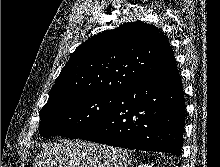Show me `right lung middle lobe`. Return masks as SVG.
<instances>
[{"mask_svg":"<svg viewBox=\"0 0 220 167\" xmlns=\"http://www.w3.org/2000/svg\"><path fill=\"white\" fill-rule=\"evenodd\" d=\"M116 95L76 92L48 101L39 113L40 135L79 138L102 119Z\"/></svg>","mask_w":220,"mask_h":167,"instance_id":"dd1d6c3e","label":"right lung middle lobe"}]
</instances>
